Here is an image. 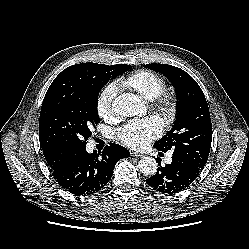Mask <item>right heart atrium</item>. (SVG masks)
<instances>
[{
	"label": "right heart atrium",
	"instance_id": "obj_1",
	"mask_svg": "<svg viewBox=\"0 0 249 249\" xmlns=\"http://www.w3.org/2000/svg\"><path fill=\"white\" fill-rule=\"evenodd\" d=\"M117 93L114 83L107 84L99 93L96 101V110L100 118L110 120L114 115L113 101Z\"/></svg>",
	"mask_w": 249,
	"mask_h": 249
}]
</instances>
